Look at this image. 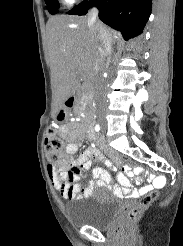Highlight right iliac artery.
Here are the masks:
<instances>
[{
	"instance_id": "right-iliac-artery-1",
	"label": "right iliac artery",
	"mask_w": 183,
	"mask_h": 246,
	"mask_svg": "<svg viewBox=\"0 0 183 246\" xmlns=\"http://www.w3.org/2000/svg\"><path fill=\"white\" fill-rule=\"evenodd\" d=\"M95 130H96V131H99V130H100L99 124H97V125L95 126Z\"/></svg>"
}]
</instances>
